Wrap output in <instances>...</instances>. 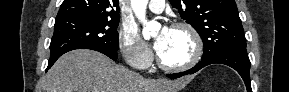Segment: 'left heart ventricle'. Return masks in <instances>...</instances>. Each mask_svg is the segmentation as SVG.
<instances>
[{"label":"left heart ventricle","mask_w":289,"mask_h":92,"mask_svg":"<svg viewBox=\"0 0 289 92\" xmlns=\"http://www.w3.org/2000/svg\"><path fill=\"white\" fill-rule=\"evenodd\" d=\"M193 54L194 43L189 33L182 29H171L165 47L159 55L167 64L181 65L188 62Z\"/></svg>","instance_id":"1"}]
</instances>
